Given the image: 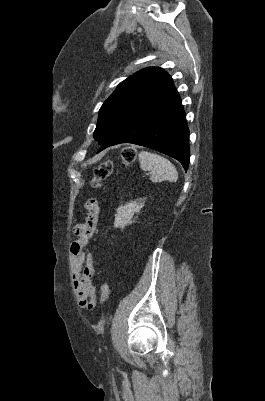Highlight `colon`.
Returning <instances> with one entry per match:
<instances>
[{
  "mask_svg": "<svg viewBox=\"0 0 265 401\" xmlns=\"http://www.w3.org/2000/svg\"><path fill=\"white\" fill-rule=\"evenodd\" d=\"M136 158V150L132 147L125 148L121 153V160L124 166H130ZM113 163L110 160L99 164L93 172L90 184L93 188L101 186L102 182L111 174ZM103 302L106 303L109 298V286L106 282L101 284Z\"/></svg>",
  "mask_w": 265,
  "mask_h": 401,
  "instance_id": "colon-1",
  "label": "colon"
}]
</instances>
